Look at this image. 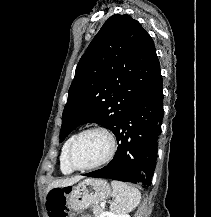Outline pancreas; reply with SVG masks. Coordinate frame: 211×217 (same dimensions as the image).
Returning <instances> with one entry per match:
<instances>
[{
    "label": "pancreas",
    "mask_w": 211,
    "mask_h": 217,
    "mask_svg": "<svg viewBox=\"0 0 211 217\" xmlns=\"http://www.w3.org/2000/svg\"><path fill=\"white\" fill-rule=\"evenodd\" d=\"M92 210H93L95 217H100V215L103 213V208H101L98 205H93Z\"/></svg>",
    "instance_id": "pancreas-1"
}]
</instances>
